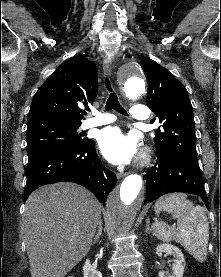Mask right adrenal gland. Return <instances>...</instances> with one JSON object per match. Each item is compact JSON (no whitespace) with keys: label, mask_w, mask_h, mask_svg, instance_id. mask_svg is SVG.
Here are the masks:
<instances>
[{"label":"right adrenal gland","mask_w":221,"mask_h":277,"mask_svg":"<svg viewBox=\"0 0 221 277\" xmlns=\"http://www.w3.org/2000/svg\"><path fill=\"white\" fill-rule=\"evenodd\" d=\"M102 230H103V227H102V221H100L99 225H98V231L94 237V243L98 242L101 234H102Z\"/></svg>","instance_id":"obj_1"}]
</instances>
